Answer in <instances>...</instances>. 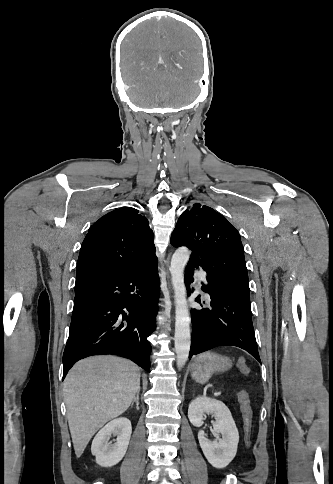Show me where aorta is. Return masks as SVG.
<instances>
[{"mask_svg": "<svg viewBox=\"0 0 333 484\" xmlns=\"http://www.w3.org/2000/svg\"><path fill=\"white\" fill-rule=\"evenodd\" d=\"M190 256L187 247H179L173 254L170 264V273L175 298V352L176 364L181 369L188 360L191 335L190 317L186 300L184 283V268Z\"/></svg>", "mask_w": 333, "mask_h": 484, "instance_id": "1", "label": "aorta"}]
</instances>
